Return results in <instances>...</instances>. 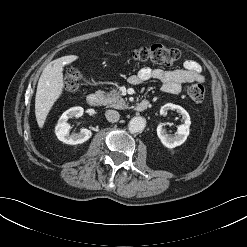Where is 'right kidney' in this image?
<instances>
[{"instance_id": "obj_1", "label": "right kidney", "mask_w": 247, "mask_h": 247, "mask_svg": "<svg viewBox=\"0 0 247 247\" xmlns=\"http://www.w3.org/2000/svg\"><path fill=\"white\" fill-rule=\"evenodd\" d=\"M83 112L84 109L82 107H72L61 115L55 127V134L60 141L66 144L76 145L84 143L91 137L92 132L85 128L81 129L77 134H69L70 125L67 123L68 119L81 117Z\"/></svg>"}]
</instances>
